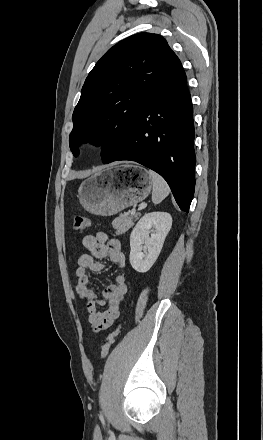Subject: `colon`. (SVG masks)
<instances>
[{"instance_id": "obj_1", "label": "colon", "mask_w": 263, "mask_h": 440, "mask_svg": "<svg viewBox=\"0 0 263 440\" xmlns=\"http://www.w3.org/2000/svg\"><path fill=\"white\" fill-rule=\"evenodd\" d=\"M90 225H91V221L89 218L82 216V215H76L73 219L72 228L74 231L79 232V231L85 230ZM118 334H119V329H116L115 331H113L112 333H110L107 336V338L101 348V356L102 357H105L108 354V352H109L110 348L112 347V345L114 344L115 339L118 336Z\"/></svg>"}]
</instances>
